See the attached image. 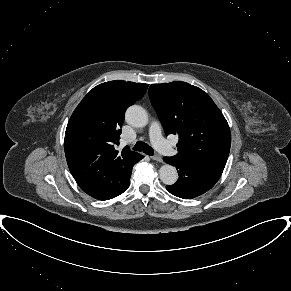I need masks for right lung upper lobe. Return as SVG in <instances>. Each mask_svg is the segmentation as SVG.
<instances>
[{
  "instance_id": "1",
  "label": "right lung upper lobe",
  "mask_w": 291,
  "mask_h": 291,
  "mask_svg": "<svg viewBox=\"0 0 291 291\" xmlns=\"http://www.w3.org/2000/svg\"><path fill=\"white\" fill-rule=\"evenodd\" d=\"M148 84L115 80L94 87L74 110L65 132L68 167L88 195L107 200L131 175L140 155L126 146L118 151L126 109L140 100Z\"/></svg>"
}]
</instances>
